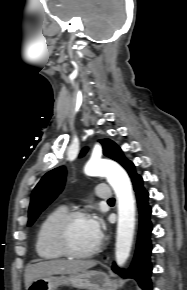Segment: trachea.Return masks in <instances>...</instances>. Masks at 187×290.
<instances>
[{"label":"trachea","instance_id":"3493384b","mask_svg":"<svg viewBox=\"0 0 187 290\" xmlns=\"http://www.w3.org/2000/svg\"><path fill=\"white\" fill-rule=\"evenodd\" d=\"M109 201H114V198H111Z\"/></svg>","mask_w":187,"mask_h":290}]
</instances>
